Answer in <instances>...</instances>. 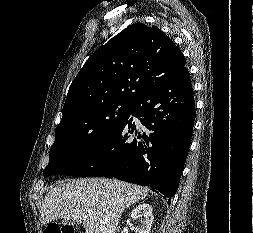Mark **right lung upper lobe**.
<instances>
[{"instance_id":"right-lung-upper-lobe-1","label":"right lung upper lobe","mask_w":253,"mask_h":233,"mask_svg":"<svg viewBox=\"0 0 253 233\" xmlns=\"http://www.w3.org/2000/svg\"><path fill=\"white\" fill-rule=\"evenodd\" d=\"M185 61L157 26L132 24L86 61L69 87L62 117L100 101H134L159 79L182 69Z\"/></svg>"}]
</instances>
